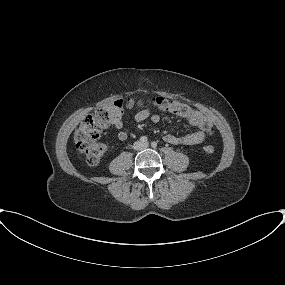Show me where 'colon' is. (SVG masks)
I'll return each instance as SVG.
<instances>
[{"label":"colon","mask_w":285,"mask_h":285,"mask_svg":"<svg viewBox=\"0 0 285 285\" xmlns=\"http://www.w3.org/2000/svg\"><path fill=\"white\" fill-rule=\"evenodd\" d=\"M162 111L186 118L190 124L211 131L212 126L206 116L199 110L186 103L164 97H156L150 101ZM143 105V102L134 98L120 99L99 106L93 114L87 115L75 131V141L78 150L86 157L89 165H97L107 152L105 144L99 142L102 130L114 124L125 109H133ZM213 145H206L203 151L206 154L214 152Z\"/></svg>","instance_id":"1"}]
</instances>
